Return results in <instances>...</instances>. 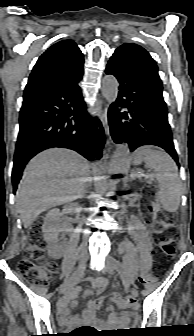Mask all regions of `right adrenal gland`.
<instances>
[{"label": "right adrenal gland", "mask_w": 194, "mask_h": 336, "mask_svg": "<svg viewBox=\"0 0 194 336\" xmlns=\"http://www.w3.org/2000/svg\"><path fill=\"white\" fill-rule=\"evenodd\" d=\"M91 187H92V180H91V178H89V180L87 182V185H86V190H89Z\"/></svg>", "instance_id": "1"}]
</instances>
